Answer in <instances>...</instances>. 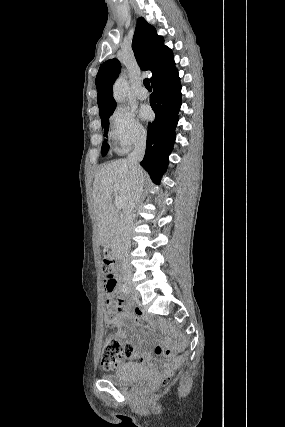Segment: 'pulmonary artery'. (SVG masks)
Instances as JSON below:
<instances>
[{"label": "pulmonary artery", "mask_w": 285, "mask_h": 427, "mask_svg": "<svg viewBox=\"0 0 285 427\" xmlns=\"http://www.w3.org/2000/svg\"><path fill=\"white\" fill-rule=\"evenodd\" d=\"M148 91L144 88H140L136 92V97L140 100H145L148 98Z\"/></svg>", "instance_id": "pulmonary-artery-1"}]
</instances>
